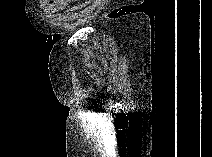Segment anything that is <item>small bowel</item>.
Here are the masks:
<instances>
[{
  "label": "small bowel",
  "instance_id": "c3829d8e",
  "mask_svg": "<svg viewBox=\"0 0 212 157\" xmlns=\"http://www.w3.org/2000/svg\"><path fill=\"white\" fill-rule=\"evenodd\" d=\"M63 4H64V1L62 0H54L48 3L46 7H48L50 10H57V9H60L63 6Z\"/></svg>",
  "mask_w": 212,
  "mask_h": 157
}]
</instances>
